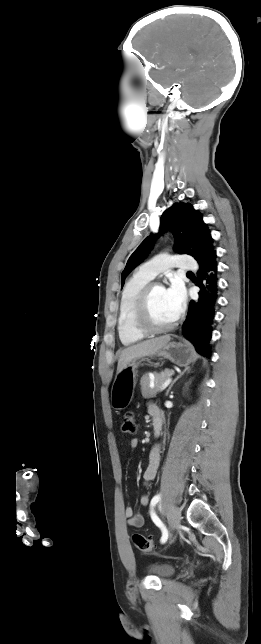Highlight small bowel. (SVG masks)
<instances>
[{
	"instance_id": "1",
	"label": "small bowel",
	"mask_w": 261,
	"mask_h": 644,
	"mask_svg": "<svg viewBox=\"0 0 261 644\" xmlns=\"http://www.w3.org/2000/svg\"><path fill=\"white\" fill-rule=\"evenodd\" d=\"M148 413L152 418L156 414L161 416V411L158 408V406L155 404H149ZM138 444L139 442L137 439H132L130 441V447L132 449L137 448ZM160 458H161V446L158 444V445H155L149 453L148 465L143 473V481L145 484H148L150 481H152L155 478L157 469L160 463ZM139 503L142 507L148 506L150 503L149 496L146 494L142 495L139 499ZM124 515L128 525L131 527L139 528V527H142L145 523L144 515L142 513H134L133 508L130 506L125 508Z\"/></svg>"
}]
</instances>
